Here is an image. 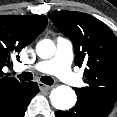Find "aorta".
Instances as JSON below:
<instances>
[{
  "label": "aorta",
  "instance_id": "1",
  "mask_svg": "<svg viewBox=\"0 0 117 117\" xmlns=\"http://www.w3.org/2000/svg\"><path fill=\"white\" fill-rule=\"evenodd\" d=\"M55 50V44L49 39L41 40L36 46V53L42 59L52 58L55 54ZM76 99L77 96L74 90L65 85L57 86L50 94L52 106L61 111L71 109L75 105Z\"/></svg>",
  "mask_w": 117,
  "mask_h": 117
}]
</instances>
